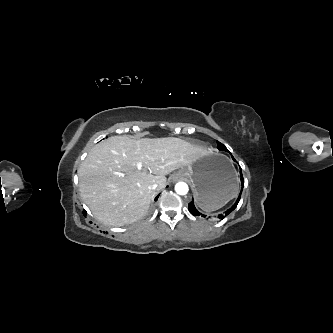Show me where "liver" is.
Listing matches in <instances>:
<instances>
[{"label": "liver", "mask_w": 333, "mask_h": 333, "mask_svg": "<svg viewBox=\"0 0 333 333\" xmlns=\"http://www.w3.org/2000/svg\"><path fill=\"white\" fill-rule=\"evenodd\" d=\"M207 150L175 137L112 136L96 144L78 168L79 191L94 217L108 226L140 220L166 175L193 163ZM142 163V169L137 164Z\"/></svg>", "instance_id": "obj_1"}]
</instances>
